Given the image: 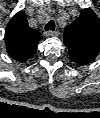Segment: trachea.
I'll list each match as a JSON object with an SVG mask.
<instances>
[{"label": "trachea", "instance_id": "trachea-1", "mask_svg": "<svg viewBox=\"0 0 100 118\" xmlns=\"http://www.w3.org/2000/svg\"><path fill=\"white\" fill-rule=\"evenodd\" d=\"M55 29V22L53 20L49 21L46 25H45V30L46 31H53Z\"/></svg>", "mask_w": 100, "mask_h": 118}]
</instances>
